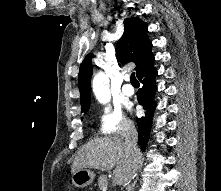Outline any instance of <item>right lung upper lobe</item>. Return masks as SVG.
I'll use <instances>...</instances> for the list:
<instances>
[{
    "label": "right lung upper lobe",
    "mask_w": 221,
    "mask_h": 191,
    "mask_svg": "<svg viewBox=\"0 0 221 191\" xmlns=\"http://www.w3.org/2000/svg\"><path fill=\"white\" fill-rule=\"evenodd\" d=\"M124 34L116 45L117 59L120 62H134L138 75L154 62L152 43L147 37V24L141 19L132 17L124 20ZM91 55H87L81 63L78 86L80 90L81 111L86 112L90 107V79L92 75Z\"/></svg>",
    "instance_id": "1"
}]
</instances>
